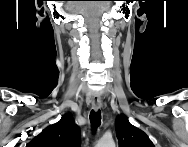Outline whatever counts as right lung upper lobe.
<instances>
[{
	"mask_svg": "<svg viewBox=\"0 0 188 147\" xmlns=\"http://www.w3.org/2000/svg\"><path fill=\"white\" fill-rule=\"evenodd\" d=\"M80 132L69 114L45 128L29 144L30 147H79Z\"/></svg>",
	"mask_w": 188,
	"mask_h": 147,
	"instance_id": "1",
	"label": "right lung upper lobe"
}]
</instances>
